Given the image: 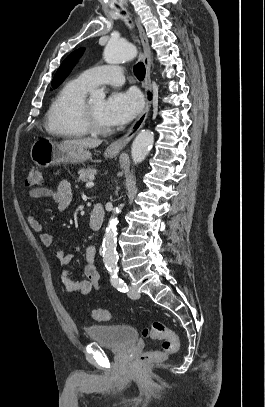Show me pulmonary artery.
Here are the masks:
<instances>
[{
  "instance_id": "1",
  "label": "pulmonary artery",
  "mask_w": 265,
  "mask_h": 407,
  "mask_svg": "<svg viewBox=\"0 0 265 407\" xmlns=\"http://www.w3.org/2000/svg\"><path fill=\"white\" fill-rule=\"evenodd\" d=\"M77 78L90 89L101 84L119 86L125 80L123 69L111 65L90 68L80 73Z\"/></svg>"
}]
</instances>
